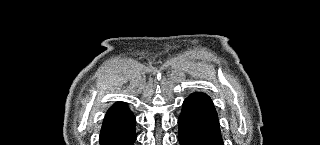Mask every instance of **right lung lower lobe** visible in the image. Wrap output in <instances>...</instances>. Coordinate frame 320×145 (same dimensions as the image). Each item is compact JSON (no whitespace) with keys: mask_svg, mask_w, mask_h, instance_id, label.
Here are the masks:
<instances>
[{"mask_svg":"<svg viewBox=\"0 0 320 145\" xmlns=\"http://www.w3.org/2000/svg\"><path fill=\"white\" fill-rule=\"evenodd\" d=\"M135 116L123 102L107 111L100 132V145H133L136 140Z\"/></svg>","mask_w":320,"mask_h":145,"instance_id":"right-lung-lower-lobe-1","label":"right lung lower lobe"}]
</instances>
